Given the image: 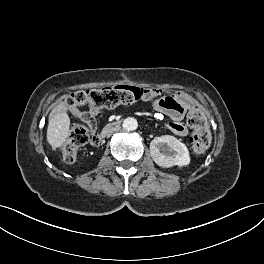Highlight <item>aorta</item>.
Listing matches in <instances>:
<instances>
[{
  "label": "aorta",
  "instance_id": "1",
  "mask_svg": "<svg viewBox=\"0 0 264 264\" xmlns=\"http://www.w3.org/2000/svg\"><path fill=\"white\" fill-rule=\"evenodd\" d=\"M123 129L127 130V131H133L136 130L138 127V122L135 118L132 117H128L123 121Z\"/></svg>",
  "mask_w": 264,
  "mask_h": 264
}]
</instances>
